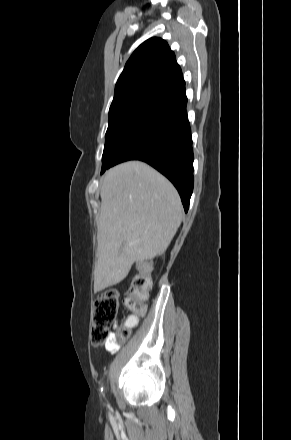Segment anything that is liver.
<instances>
[{"mask_svg":"<svg viewBox=\"0 0 291 440\" xmlns=\"http://www.w3.org/2000/svg\"><path fill=\"white\" fill-rule=\"evenodd\" d=\"M100 196L95 292L120 283L134 262L164 254L182 221L177 190L141 161L109 169Z\"/></svg>","mask_w":291,"mask_h":440,"instance_id":"1","label":"liver"}]
</instances>
